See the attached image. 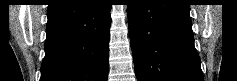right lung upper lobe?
Listing matches in <instances>:
<instances>
[{
  "instance_id": "cb5924a9",
  "label": "right lung upper lobe",
  "mask_w": 237,
  "mask_h": 81,
  "mask_svg": "<svg viewBox=\"0 0 237 81\" xmlns=\"http://www.w3.org/2000/svg\"><path fill=\"white\" fill-rule=\"evenodd\" d=\"M65 1H67V0H52L51 4H49L48 7L56 6V5L63 3Z\"/></svg>"
}]
</instances>
